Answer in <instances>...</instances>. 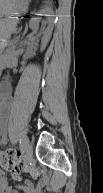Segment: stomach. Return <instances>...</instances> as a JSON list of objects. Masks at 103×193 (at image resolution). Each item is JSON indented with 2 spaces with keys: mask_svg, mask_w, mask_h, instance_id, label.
<instances>
[{
  "mask_svg": "<svg viewBox=\"0 0 103 193\" xmlns=\"http://www.w3.org/2000/svg\"><path fill=\"white\" fill-rule=\"evenodd\" d=\"M29 2L30 0H5L3 5L1 6V15L3 17H6L25 12L28 9ZM2 29L4 37H6L11 32L10 26L4 25ZM4 45L5 43H3L2 47H4Z\"/></svg>",
  "mask_w": 103,
  "mask_h": 193,
  "instance_id": "1",
  "label": "stomach"
}]
</instances>
